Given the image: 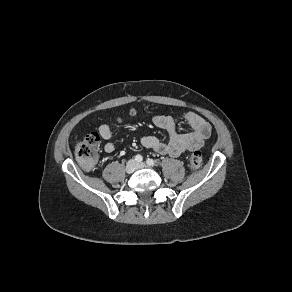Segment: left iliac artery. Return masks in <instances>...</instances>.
<instances>
[{
    "mask_svg": "<svg viewBox=\"0 0 292 292\" xmlns=\"http://www.w3.org/2000/svg\"><path fill=\"white\" fill-rule=\"evenodd\" d=\"M146 163L149 165V166H154L155 165V161L153 159H147L146 160Z\"/></svg>",
    "mask_w": 292,
    "mask_h": 292,
    "instance_id": "44dca946",
    "label": "left iliac artery"
}]
</instances>
